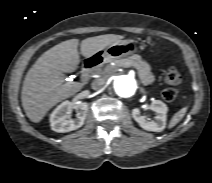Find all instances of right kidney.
I'll return each instance as SVG.
<instances>
[{
	"instance_id": "obj_1",
	"label": "right kidney",
	"mask_w": 212,
	"mask_h": 183,
	"mask_svg": "<svg viewBox=\"0 0 212 183\" xmlns=\"http://www.w3.org/2000/svg\"><path fill=\"white\" fill-rule=\"evenodd\" d=\"M77 107L76 119H68L72 103L67 100L58 105L50 115L51 129L55 132L64 133L80 128L87 116L88 104L86 102L79 103Z\"/></svg>"
}]
</instances>
